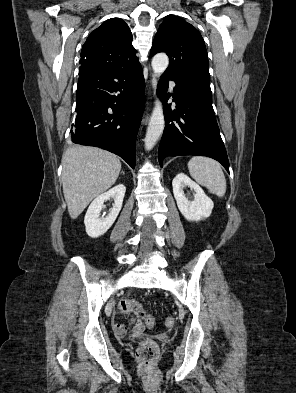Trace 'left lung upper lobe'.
I'll use <instances>...</instances> for the list:
<instances>
[{
	"instance_id": "1",
	"label": "left lung upper lobe",
	"mask_w": 296,
	"mask_h": 393,
	"mask_svg": "<svg viewBox=\"0 0 296 393\" xmlns=\"http://www.w3.org/2000/svg\"><path fill=\"white\" fill-rule=\"evenodd\" d=\"M166 52L169 67L164 75L179 84L210 86L207 50L201 34L184 19L168 15L154 38L151 55Z\"/></svg>"
}]
</instances>
